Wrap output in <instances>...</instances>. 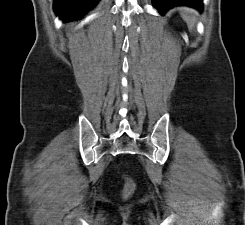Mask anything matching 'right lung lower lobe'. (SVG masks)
Returning <instances> with one entry per match:
<instances>
[{
	"label": "right lung lower lobe",
	"instance_id": "1",
	"mask_svg": "<svg viewBox=\"0 0 245 225\" xmlns=\"http://www.w3.org/2000/svg\"><path fill=\"white\" fill-rule=\"evenodd\" d=\"M98 0H55L54 10L63 20H74L91 9Z\"/></svg>",
	"mask_w": 245,
	"mask_h": 225
}]
</instances>
